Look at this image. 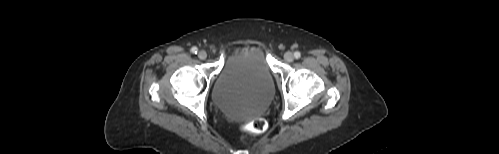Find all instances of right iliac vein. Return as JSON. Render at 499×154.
Wrapping results in <instances>:
<instances>
[{
  "label": "right iliac vein",
  "instance_id": "1",
  "mask_svg": "<svg viewBox=\"0 0 499 154\" xmlns=\"http://www.w3.org/2000/svg\"><path fill=\"white\" fill-rule=\"evenodd\" d=\"M198 57H199V59H201V60H205V59L207 58V53H206V51H204V50L200 51V52L198 53Z\"/></svg>",
  "mask_w": 499,
  "mask_h": 154
}]
</instances>
